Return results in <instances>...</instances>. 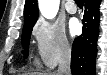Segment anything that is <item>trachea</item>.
Masks as SVG:
<instances>
[{"label": "trachea", "mask_w": 107, "mask_h": 75, "mask_svg": "<svg viewBox=\"0 0 107 75\" xmlns=\"http://www.w3.org/2000/svg\"><path fill=\"white\" fill-rule=\"evenodd\" d=\"M77 4H83V0H75Z\"/></svg>", "instance_id": "obj_1"}]
</instances>
